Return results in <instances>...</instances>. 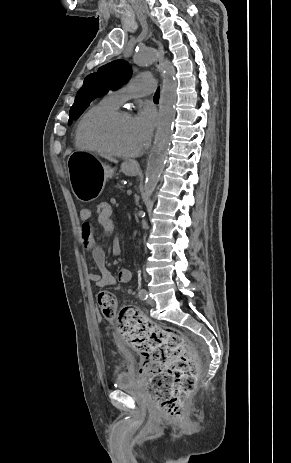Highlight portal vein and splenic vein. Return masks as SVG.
Wrapping results in <instances>:
<instances>
[{
	"label": "portal vein and splenic vein",
	"mask_w": 291,
	"mask_h": 463,
	"mask_svg": "<svg viewBox=\"0 0 291 463\" xmlns=\"http://www.w3.org/2000/svg\"><path fill=\"white\" fill-rule=\"evenodd\" d=\"M127 194H128V195L132 194V190H131V189H128V190H127Z\"/></svg>",
	"instance_id": "portal-vein-and-splenic-vein-1"
}]
</instances>
